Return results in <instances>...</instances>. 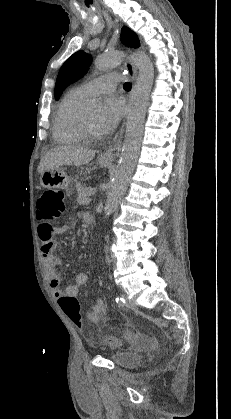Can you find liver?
I'll return each instance as SVG.
<instances>
[{
	"label": "liver",
	"instance_id": "obj_1",
	"mask_svg": "<svg viewBox=\"0 0 231 419\" xmlns=\"http://www.w3.org/2000/svg\"><path fill=\"white\" fill-rule=\"evenodd\" d=\"M96 151L80 146H59L51 149L40 161L38 172L59 168L63 165L80 166L88 164Z\"/></svg>",
	"mask_w": 231,
	"mask_h": 419
}]
</instances>
